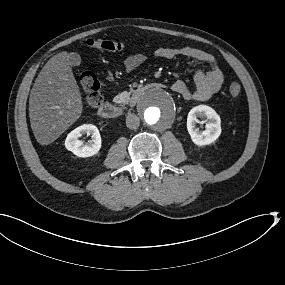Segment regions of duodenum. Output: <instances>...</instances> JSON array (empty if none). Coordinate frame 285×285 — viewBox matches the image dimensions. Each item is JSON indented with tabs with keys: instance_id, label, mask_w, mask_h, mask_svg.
<instances>
[{
	"instance_id": "obj_1",
	"label": "duodenum",
	"mask_w": 285,
	"mask_h": 285,
	"mask_svg": "<svg viewBox=\"0 0 285 285\" xmlns=\"http://www.w3.org/2000/svg\"><path fill=\"white\" fill-rule=\"evenodd\" d=\"M152 87L161 88V87H163V85L160 83H150V84L140 86L131 94L130 99H129V104L131 106L134 105L140 99V97L149 88H152ZM97 113H98L99 117H101L102 119L112 120V119H115V118H118L119 116H121L122 109L114 103L105 102L99 106Z\"/></svg>"
}]
</instances>
